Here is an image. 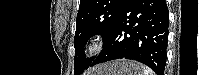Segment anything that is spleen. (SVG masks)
Segmentation results:
<instances>
[{
    "label": "spleen",
    "instance_id": "obj_1",
    "mask_svg": "<svg viewBox=\"0 0 199 75\" xmlns=\"http://www.w3.org/2000/svg\"><path fill=\"white\" fill-rule=\"evenodd\" d=\"M141 68H142L141 75H154V72L150 68L145 66H141Z\"/></svg>",
    "mask_w": 199,
    "mask_h": 75
}]
</instances>
